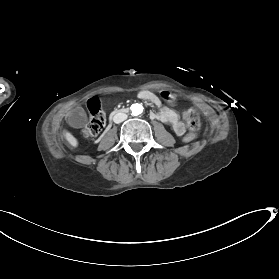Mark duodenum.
Segmentation results:
<instances>
[{
	"label": "duodenum",
	"instance_id": "410a0bca",
	"mask_svg": "<svg viewBox=\"0 0 279 279\" xmlns=\"http://www.w3.org/2000/svg\"><path fill=\"white\" fill-rule=\"evenodd\" d=\"M124 114H130L132 112V109L130 107H124L123 109L121 107H118L117 109H113L111 112H109L106 116L105 119L106 124L103 127V130L96 136V138L94 139V142L96 144H99L104 137L107 135V132L110 130V128L113 126V121L111 120L114 116H117L118 114L121 113Z\"/></svg>",
	"mask_w": 279,
	"mask_h": 279
}]
</instances>
